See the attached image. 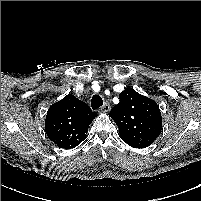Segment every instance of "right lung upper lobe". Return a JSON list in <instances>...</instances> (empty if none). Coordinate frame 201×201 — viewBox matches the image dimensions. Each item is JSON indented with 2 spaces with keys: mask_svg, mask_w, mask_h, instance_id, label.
<instances>
[{
  "mask_svg": "<svg viewBox=\"0 0 201 201\" xmlns=\"http://www.w3.org/2000/svg\"><path fill=\"white\" fill-rule=\"evenodd\" d=\"M96 116L85 102L69 93L47 111L45 132L57 146L75 148L85 140L89 124Z\"/></svg>",
  "mask_w": 201,
  "mask_h": 201,
  "instance_id": "1",
  "label": "right lung upper lobe"
}]
</instances>
